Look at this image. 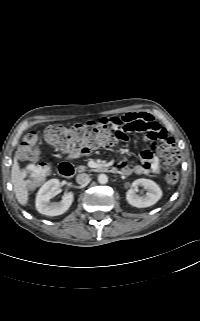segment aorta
Masks as SVG:
<instances>
[{
    "label": "aorta",
    "instance_id": "762f6f07",
    "mask_svg": "<svg viewBox=\"0 0 200 321\" xmlns=\"http://www.w3.org/2000/svg\"><path fill=\"white\" fill-rule=\"evenodd\" d=\"M98 182H99L100 184H106V183L108 182V177H107V175H105V174H100V175L98 176Z\"/></svg>",
    "mask_w": 200,
    "mask_h": 321
}]
</instances>
